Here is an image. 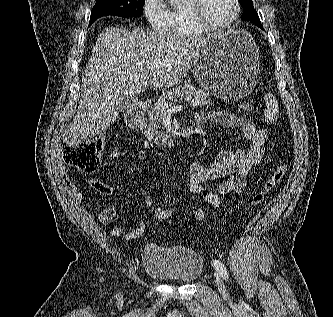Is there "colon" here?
Listing matches in <instances>:
<instances>
[{"label": "colon", "instance_id": "1", "mask_svg": "<svg viewBox=\"0 0 333 317\" xmlns=\"http://www.w3.org/2000/svg\"><path fill=\"white\" fill-rule=\"evenodd\" d=\"M240 107L248 113L253 111V106L250 103H241ZM103 150L104 139L98 136L76 145L67 146L63 152V159L67 165L83 173H92L100 166ZM287 171L288 167L284 162L277 164L262 186L252 195L251 204L253 206L261 205L267 196L282 182ZM151 213L154 222H168L173 219V210L164 205L153 207ZM150 231H152L151 227Z\"/></svg>", "mask_w": 333, "mask_h": 317}]
</instances>
